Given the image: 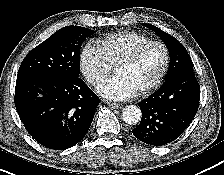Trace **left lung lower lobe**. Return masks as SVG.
<instances>
[{"label":"left lung lower lobe","instance_id":"left-lung-lower-lobe-1","mask_svg":"<svg viewBox=\"0 0 224 175\" xmlns=\"http://www.w3.org/2000/svg\"><path fill=\"white\" fill-rule=\"evenodd\" d=\"M200 86L193 71H182L166 78L158 91L139 102L140 124L132 130L140 141L153 146L177 139L195 117Z\"/></svg>","mask_w":224,"mask_h":175}]
</instances>
